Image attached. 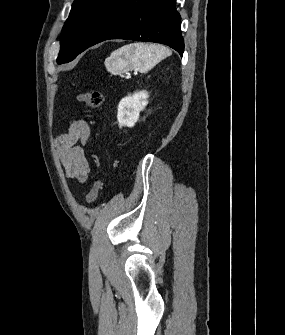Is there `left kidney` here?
I'll list each match as a JSON object with an SVG mask.
<instances>
[{
  "label": "left kidney",
  "mask_w": 285,
  "mask_h": 335,
  "mask_svg": "<svg viewBox=\"0 0 285 335\" xmlns=\"http://www.w3.org/2000/svg\"><path fill=\"white\" fill-rule=\"evenodd\" d=\"M148 92H135V94H130L126 98H122L119 102L117 120L119 126H128V128H133L136 122H138L139 114L147 106Z\"/></svg>",
  "instance_id": "obj_1"
}]
</instances>
